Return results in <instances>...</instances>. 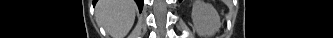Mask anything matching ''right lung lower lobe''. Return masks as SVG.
Segmentation results:
<instances>
[{"label": "right lung lower lobe", "mask_w": 333, "mask_h": 38, "mask_svg": "<svg viewBox=\"0 0 333 38\" xmlns=\"http://www.w3.org/2000/svg\"><path fill=\"white\" fill-rule=\"evenodd\" d=\"M135 1H136L137 5H138V7H139V10L141 11V10H142V7H143V0H135ZM96 2H97V0H95V1L93 2V4L95 5Z\"/></svg>", "instance_id": "1"}]
</instances>
